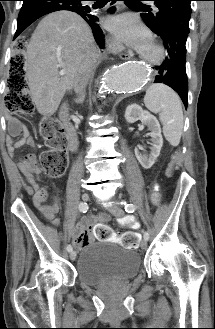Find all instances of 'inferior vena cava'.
<instances>
[{
	"label": "inferior vena cava",
	"mask_w": 215,
	"mask_h": 329,
	"mask_svg": "<svg viewBox=\"0 0 215 329\" xmlns=\"http://www.w3.org/2000/svg\"><path fill=\"white\" fill-rule=\"evenodd\" d=\"M98 58L99 51L94 49L89 54H87V56L82 61L73 85L77 94L80 95L85 90L93 74V71L97 66Z\"/></svg>",
	"instance_id": "1"
}]
</instances>
